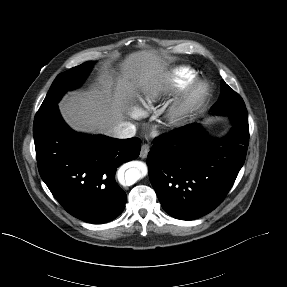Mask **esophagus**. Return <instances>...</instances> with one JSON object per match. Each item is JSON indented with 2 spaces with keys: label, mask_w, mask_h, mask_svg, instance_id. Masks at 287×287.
Returning <instances> with one entry per match:
<instances>
[{
  "label": "esophagus",
  "mask_w": 287,
  "mask_h": 287,
  "mask_svg": "<svg viewBox=\"0 0 287 287\" xmlns=\"http://www.w3.org/2000/svg\"><path fill=\"white\" fill-rule=\"evenodd\" d=\"M150 147L148 144H143L141 146V151H140V157L141 158H146L148 153H149Z\"/></svg>",
  "instance_id": "obj_1"
}]
</instances>
